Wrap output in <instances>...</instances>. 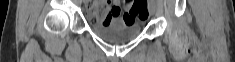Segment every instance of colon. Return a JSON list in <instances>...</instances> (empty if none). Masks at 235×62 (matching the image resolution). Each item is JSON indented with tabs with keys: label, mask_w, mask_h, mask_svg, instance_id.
<instances>
[{
	"label": "colon",
	"mask_w": 235,
	"mask_h": 62,
	"mask_svg": "<svg viewBox=\"0 0 235 62\" xmlns=\"http://www.w3.org/2000/svg\"><path fill=\"white\" fill-rule=\"evenodd\" d=\"M127 14L126 23H131L136 19H145L147 17V9L144 1L135 0ZM103 24L108 25L107 20Z\"/></svg>",
	"instance_id": "obj_1"
}]
</instances>
